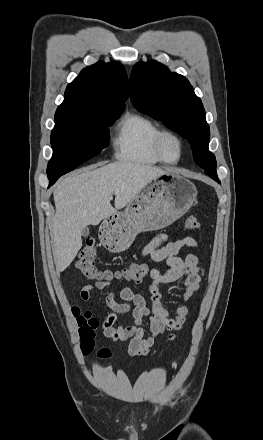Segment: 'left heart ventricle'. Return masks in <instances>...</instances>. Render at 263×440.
Here are the masks:
<instances>
[{
    "mask_svg": "<svg viewBox=\"0 0 263 440\" xmlns=\"http://www.w3.org/2000/svg\"><path fill=\"white\" fill-rule=\"evenodd\" d=\"M162 149L168 160H176L179 156V144L173 137L167 136L163 139Z\"/></svg>",
    "mask_w": 263,
    "mask_h": 440,
    "instance_id": "obj_1",
    "label": "left heart ventricle"
}]
</instances>
